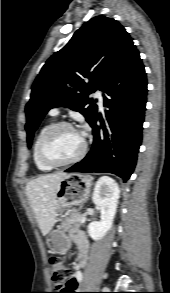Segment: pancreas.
<instances>
[{
	"instance_id": "obj_1",
	"label": "pancreas",
	"mask_w": 170,
	"mask_h": 293,
	"mask_svg": "<svg viewBox=\"0 0 170 293\" xmlns=\"http://www.w3.org/2000/svg\"><path fill=\"white\" fill-rule=\"evenodd\" d=\"M81 220L82 214L80 212L77 210H67L61 227L65 230L74 231L82 225Z\"/></svg>"
}]
</instances>
